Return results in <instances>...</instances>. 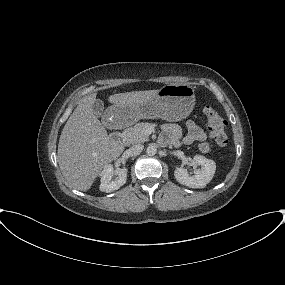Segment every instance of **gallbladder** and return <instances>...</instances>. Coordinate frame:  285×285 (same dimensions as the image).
Instances as JSON below:
<instances>
[{"instance_id":"bac80fb5","label":"gallbladder","mask_w":285,"mask_h":285,"mask_svg":"<svg viewBox=\"0 0 285 285\" xmlns=\"http://www.w3.org/2000/svg\"><path fill=\"white\" fill-rule=\"evenodd\" d=\"M103 110H104V103L102 100L100 99H96L94 101V103L92 104V111H93V114L96 116V117H100L102 116L103 114Z\"/></svg>"}]
</instances>
